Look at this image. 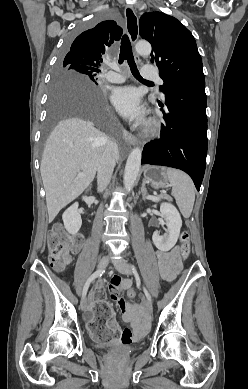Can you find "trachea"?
I'll list each match as a JSON object with an SVG mask.
<instances>
[{
    "label": "trachea",
    "instance_id": "1",
    "mask_svg": "<svg viewBox=\"0 0 248 389\" xmlns=\"http://www.w3.org/2000/svg\"><path fill=\"white\" fill-rule=\"evenodd\" d=\"M124 60H127L129 66H130L131 72L136 79L141 80V81H145L148 83H152V82L145 80L141 77V75L137 69L136 63L134 61L131 43H130V40H129L127 35H124L122 37L121 46H120V54H119V64H122L124 62Z\"/></svg>",
    "mask_w": 248,
    "mask_h": 389
}]
</instances>
